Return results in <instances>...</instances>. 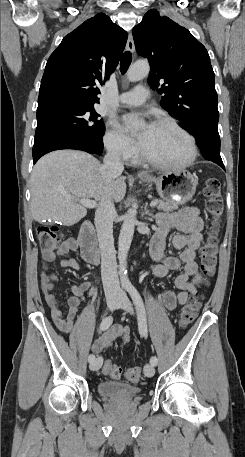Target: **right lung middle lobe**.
I'll use <instances>...</instances> for the list:
<instances>
[{
  "instance_id": "obj_1",
  "label": "right lung middle lobe",
  "mask_w": 245,
  "mask_h": 457,
  "mask_svg": "<svg viewBox=\"0 0 245 457\" xmlns=\"http://www.w3.org/2000/svg\"><path fill=\"white\" fill-rule=\"evenodd\" d=\"M89 102H64L50 110L37 112L35 140L61 134L79 138L86 142L93 153L103 150L104 123Z\"/></svg>"
}]
</instances>
